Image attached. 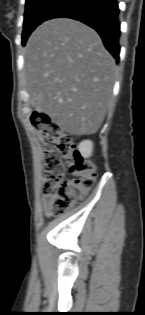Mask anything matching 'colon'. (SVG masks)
<instances>
[{
  "label": "colon",
  "instance_id": "obj_1",
  "mask_svg": "<svg viewBox=\"0 0 145 315\" xmlns=\"http://www.w3.org/2000/svg\"><path fill=\"white\" fill-rule=\"evenodd\" d=\"M31 124L44 143L45 176L42 190L51 196L54 212L69 209L93 184L96 166L84 159L72 137L48 115H32ZM69 173L75 178L66 179Z\"/></svg>",
  "mask_w": 145,
  "mask_h": 315
}]
</instances>
